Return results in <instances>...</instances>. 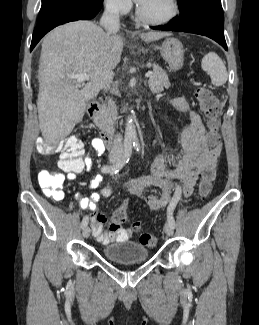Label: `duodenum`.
<instances>
[{"label": "duodenum", "mask_w": 259, "mask_h": 325, "mask_svg": "<svg viewBox=\"0 0 259 325\" xmlns=\"http://www.w3.org/2000/svg\"><path fill=\"white\" fill-rule=\"evenodd\" d=\"M100 113H101V105L98 102L92 103L88 107V115L91 118L92 121L98 123L100 120ZM101 140L105 147L111 148L114 144V135L113 133L103 130L101 133ZM127 144V142H126Z\"/></svg>", "instance_id": "1"}]
</instances>
